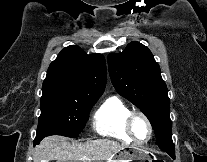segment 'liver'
I'll use <instances>...</instances> for the list:
<instances>
[{
	"label": "liver",
	"mask_w": 207,
	"mask_h": 162,
	"mask_svg": "<svg viewBox=\"0 0 207 162\" xmlns=\"http://www.w3.org/2000/svg\"><path fill=\"white\" fill-rule=\"evenodd\" d=\"M127 145L110 139H96L84 143L70 142L63 136L44 138L35 148L33 162L109 161Z\"/></svg>",
	"instance_id": "obj_1"
}]
</instances>
